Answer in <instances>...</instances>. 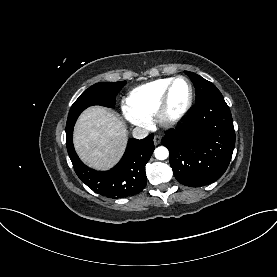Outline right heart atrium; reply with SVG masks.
<instances>
[{
    "label": "right heart atrium",
    "mask_w": 277,
    "mask_h": 277,
    "mask_svg": "<svg viewBox=\"0 0 277 277\" xmlns=\"http://www.w3.org/2000/svg\"><path fill=\"white\" fill-rule=\"evenodd\" d=\"M123 114L125 118L133 125L139 127H147L150 123V119L140 113L135 112L125 104L123 106Z\"/></svg>",
    "instance_id": "1"
}]
</instances>
